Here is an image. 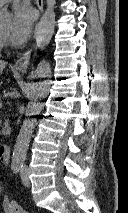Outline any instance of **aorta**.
<instances>
[{"label":"aorta","instance_id":"1","mask_svg":"<svg viewBox=\"0 0 128 213\" xmlns=\"http://www.w3.org/2000/svg\"><path fill=\"white\" fill-rule=\"evenodd\" d=\"M47 8L42 15L35 31L36 45L43 50L49 44L55 28V13L54 7L56 0H46ZM8 19L6 11H0V22ZM35 77L42 79L36 82L29 94L30 101L26 108V118L23 121L20 132L17 136L16 143L13 149L11 167L20 168L26 160L27 150L30 144V139L36 125L35 116L38 115L43 103L41 100L48 95L50 89L51 68L46 60H41L35 70Z\"/></svg>","mask_w":128,"mask_h":213}]
</instances>
